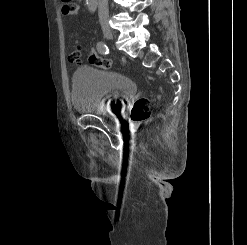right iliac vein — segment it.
Masks as SVG:
<instances>
[{"label": "right iliac vein", "mask_w": 247, "mask_h": 245, "mask_svg": "<svg viewBox=\"0 0 247 245\" xmlns=\"http://www.w3.org/2000/svg\"><path fill=\"white\" fill-rule=\"evenodd\" d=\"M102 31H103V35H104V37H105L106 39H108V40H112V39H113V33H112L110 27L104 26V27L102 28Z\"/></svg>", "instance_id": "1"}]
</instances>
